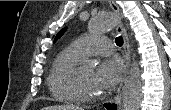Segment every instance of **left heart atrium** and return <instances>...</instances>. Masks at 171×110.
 I'll return each mask as SVG.
<instances>
[{
	"mask_svg": "<svg viewBox=\"0 0 171 110\" xmlns=\"http://www.w3.org/2000/svg\"><path fill=\"white\" fill-rule=\"evenodd\" d=\"M123 63L119 58L103 61L94 73V82L101 92L112 89L119 81Z\"/></svg>",
	"mask_w": 171,
	"mask_h": 110,
	"instance_id": "left-heart-atrium-1",
	"label": "left heart atrium"
}]
</instances>
